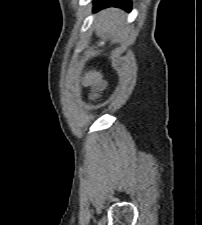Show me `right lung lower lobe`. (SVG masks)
Returning <instances> with one entry per match:
<instances>
[{
  "label": "right lung lower lobe",
  "instance_id": "98d812e1",
  "mask_svg": "<svg viewBox=\"0 0 202 225\" xmlns=\"http://www.w3.org/2000/svg\"><path fill=\"white\" fill-rule=\"evenodd\" d=\"M120 7L126 11L131 10V1L130 0H95L94 1V11H98L100 9L106 7Z\"/></svg>",
  "mask_w": 202,
  "mask_h": 225
}]
</instances>
